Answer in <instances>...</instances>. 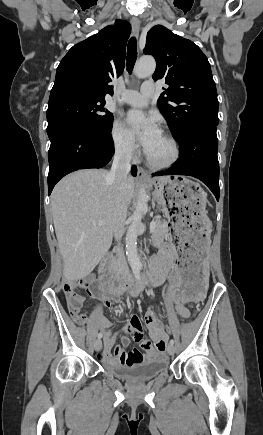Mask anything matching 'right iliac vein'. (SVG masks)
I'll return each mask as SVG.
<instances>
[{"label":"right iliac vein","instance_id":"63e3f726","mask_svg":"<svg viewBox=\"0 0 263 435\" xmlns=\"http://www.w3.org/2000/svg\"><path fill=\"white\" fill-rule=\"evenodd\" d=\"M101 348H102V342H101V340L98 338V339L94 342V349H95L96 351H99V350H101Z\"/></svg>","mask_w":263,"mask_h":435}]
</instances>
